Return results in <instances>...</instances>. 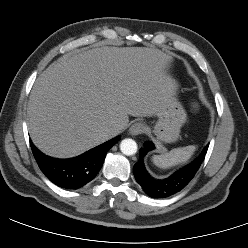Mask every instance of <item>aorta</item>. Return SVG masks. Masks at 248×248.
Returning <instances> with one entry per match:
<instances>
[{
    "label": "aorta",
    "instance_id": "1",
    "mask_svg": "<svg viewBox=\"0 0 248 248\" xmlns=\"http://www.w3.org/2000/svg\"><path fill=\"white\" fill-rule=\"evenodd\" d=\"M120 150L124 155H134L137 152V143L133 139L126 138L121 141Z\"/></svg>",
    "mask_w": 248,
    "mask_h": 248
}]
</instances>
